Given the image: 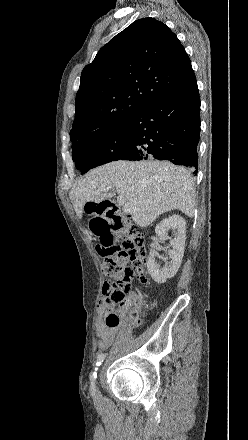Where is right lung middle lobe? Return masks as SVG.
I'll return each mask as SVG.
<instances>
[{"label":"right lung middle lobe","mask_w":248,"mask_h":440,"mask_svg":"<svg viewBox=\"0 0 248 440\" xmlns=\"http://www.w3.org/2000/svg\"><path fill=\"white\" fill-rule=\"evenodd\" d=\"M132 126L128 121L93 139L72 146V158L81 174L105 163L118 160L128 149Z\"/></svg>","instance_id":"dd1d6c3e"}]
</instances>
